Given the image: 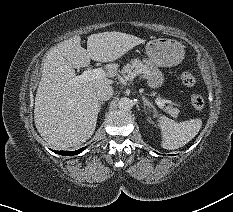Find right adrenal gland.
<instances>
[{"instance_id": "right-adrenal-gland-1", "label": "right adrenal gland", "mask_w": 233, "mask_h": 212, "mask_svg": "<svg viewBox=\"0 0 233 212\" xmlns=\"http://www.w3.org/2000/svg\"><path fill=\"white\" fill-rule=\"evenodd\" d=\"M103 104H104V102L102 101V102L99 103V106L101 107Z\"/></svg>"}]
</instances>
